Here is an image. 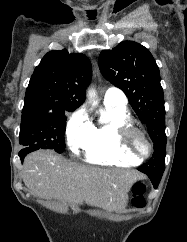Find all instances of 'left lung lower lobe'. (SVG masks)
I'll return each mask as SVG.
<instances>
[{
  "instance_id": "1",
  "label": "left lung lower lobe",
  "mask_w": 187,
  "mask_h": 242,
  "mask_svg": "<svg viewBox=\"0 0 187 242\" xmlns=\"http://www.w3.org/2000/svg\"><path fill=\"white\" fill-rule=\"evenodd\" d=\"M147 175L150 178L152 184L154 185V188H157L162 175H156V174H147Z\"/></svg>"
}]
</instances>
